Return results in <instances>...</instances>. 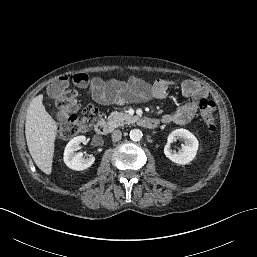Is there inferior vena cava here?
<instances>
[{
	"label": "inferior vena cava",
	"mask_w": 257,
	"mask_h": 257,
	"mask_svg": "<svg viewBox=\"0 0 257 257\" xmlns=\"http://www.w3.org/2000/svg\"><path fill=\"white\" fill-rule=\"evenodd\" d=\"M122 137L120 130H114L111 134L112 141H119Z\"/></svg>",
	"instance_id": "602c4592"
}]
</instances>
